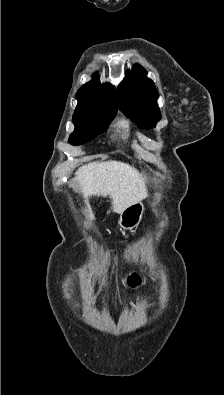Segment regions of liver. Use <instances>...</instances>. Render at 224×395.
<instances>
[{
	"mask_svg": "<svg viewBox=\"0 0 224 395\" xmlns=\"http://www.w3.org/2000/svg\"><path fill=\"white\" fill-rule=\"evenodd\" d=\"M73 181L83 195L89 217L94 219L88 198L109 196L115 213L121 214L147 194L144 178L134 167L121 161L92 162L80 167Z\"/></svg>",
	"mask_w": 224,
	"mask_h": 395,
	"instance_id": "6515ba94",
	"label": "liver"
}]
</instances>
